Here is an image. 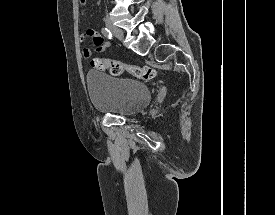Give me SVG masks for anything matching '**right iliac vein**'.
Returning a JSON list of instances; mask_svg holds the SVG:
<instances>
[{
    "label": "right iliac vein",
    "mask_w": 275,
    "mask_h": 215,
    "mask_svg": "<svg viewBox=\"0 0 275 215\" xmlns=\"http://www.w3.org/2000/svg\"><path fill=\"white\" fill-rule=\"evenodd\" d=\"M105 24L119 40H123V32L108 17L105 18Z\"/></svg>",
    "instance_id": "1"
}]
</instances>
